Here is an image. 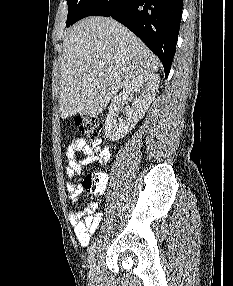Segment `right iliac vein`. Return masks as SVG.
<instances>
[{
  "label": "right iliac vein",
  "instance_id": "right-iliac-vein-1",
  "mask_svg": "<svg viewBox=\"0 0 233 286\" xmlns=\"http://www.w3.org/2000/svg\"><path fill=\"white\" fill-rule=\"evenodd\" d=\"M89 278L92 283H95L98 279V267L95 262H93V265L91 267Z\"/></svg>",
  "mask_w": 233,
  "mask_h": 286
}]
</instances>
